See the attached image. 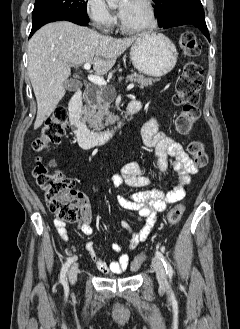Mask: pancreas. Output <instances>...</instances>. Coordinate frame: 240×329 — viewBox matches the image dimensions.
<instances>
[{"label": "pancreas", "mask_w": 240, "mask_h": 329, "mask_svg": "<svg viewBox=\"0 0 240 329\" xmlns=\"http://www.w3.org/2000/svg\"><path fill=\"white\" fill-rule=\"evenodd\" d=\"M128 81L136 82L140 88L152 85L158 79L144 77L141 74L127 76ZM115 96H107V90L103 87L96 88V95H91L90 91L86 93L85 115L89 127L94 131H101L115 120V116L110 112V104L114 101Z\"/></svg>", "instance_id": "pancreas-1"}]
</instances>
